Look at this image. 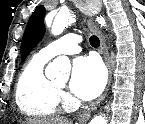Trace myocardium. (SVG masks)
<instances>
[{
	"mask_svg": "<svg viewBox=\"0 0 145 124\" xmlns=\"http://www.w3.org/2000/svg\"><path fill=\"white\" fill-rule=\"evenodd\" d=\"M52 84L54 85L56 91H57L59 94L63 91L64 86H61V85H59V84H57L56 82H53V81H52Z\"/></svg>",
	"mask_w": 145,
	"mask_h": 124,
	"instance_id": "f54148a6",
	"label": "myocardium"
}]
</instances>
